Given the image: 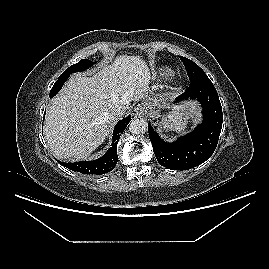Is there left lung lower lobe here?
<instances>
[{
	"label": "left lung lower lobe",
	"mask_w": 269,
	"mask_h": 269,
	"mask_svg": "<svg viewBox=\"0 0 269 269\" xmlns=\"http://www.w3.org/2000/svg\"><path fill=\"white\" fill-rule=\"evenodd\" d=\"M189 98L202 104L203 122L188 135L167 143L148 124L149 138L158 162L172 170H188L208 160L217 146L222 128L221 103L208 77L192 82L178 100Z\"/></svg>",
	"instance_id": "obj_1"
}]
</instances>
